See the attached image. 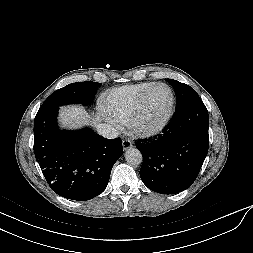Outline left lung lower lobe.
<instances>
[{"instance_id": "1", "label": "left lung lower lobe", "mask_w": 253, "mask_h": 253, "mask_svg": "<svg viewBox=\"0 0 253 253\" xmlns=\"http://www.w3.org/2000/svg\"><path fill=\"white\" fill-rule=\"evenodd\" d=\"M209 116L202 101L178 109L161 134L139 140L140 177L151 190L175 194L197 178L209 145Z\"/></svg>"}]
</instances>
